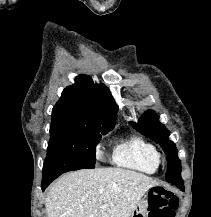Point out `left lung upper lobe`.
Instances as JSON below:
<instances>
[{
    "mask_svg": "<svg viewBox=\"0 0 211 217\" xmlns=\"http://www.w3.org/2000/svg\"><path fill=\"white\" fill-rule=\"evenodd\" d=\"M133 127L143 135L150 137L159 143L163 148L167 158V172L165 179L176 185L184 186L181 178V161L178 158L175 144L169 140L168 130L159 122V118L154 111L146 112L138 123H132Z\"/></svg>",
    "mask_w": 211,
    "mask_h": 217,
    "instance_id": "left-lung-upper-lobe-1",
    "label": "left lung upper lobe"
}]
</instances>
